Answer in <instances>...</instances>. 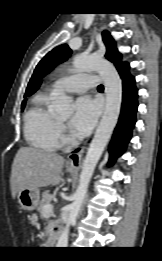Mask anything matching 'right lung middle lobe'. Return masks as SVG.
Masks as SVG:
<instances>
[{
	"instance_id": "obj_1",
	"label": "right lung middle lobe",
	"mask_w": 162,
	"mask_h": 261,
	"mask_svg": "<svg viewBox=\"0 0 162 261\" xmlns=\"http://www.w3.org/2000/svg\"><path fill=\"white\" fill-rule=\"evenodd\" d=\"M24 106H25V101H23V103H22V106H21L22 110L24 109Z\"/></svg>"
}]
</instances>
